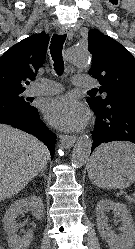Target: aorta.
I'll list each match as a JSON object with an SVG mask.
<instances>
[{"mask_svg":"<svg viewBox=\"0 0 135 249\" xmlns=\"http://www.w3.org/2000/svg\"><path fill=\"white\" fill-rule=\"evenodd\" d=\"M68 61L77 67H87L90 57L87 48L73 46L67 50ZM92 147V140L88 136H81L76 141L72 151V164L82 167L88 160Z\"/></svg>","mask_w":135,"mask_h":249,"instance_id":"1","label":"aorta"}]
</instances>
